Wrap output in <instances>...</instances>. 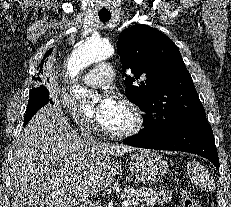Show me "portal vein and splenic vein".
I'll use <instances>...</instances> for the list:
<instances>
[{
  "label": "portal vein and splenic vein",
  "instance_id": "obj_1",
  "mask_svg": "<svg viewBox=\"0 0 231 207\" xmlns=\"http://www.w3.org/2000/svg\"><path fill=\"white\" fill-rule=\"evenodd\" d=\"M123 205H124L125 207H131V204H130L128 201H124V202H123Z\"/></svg>",
  "mask_w": 231,
  "mask_h": 207
}]
</instances>
